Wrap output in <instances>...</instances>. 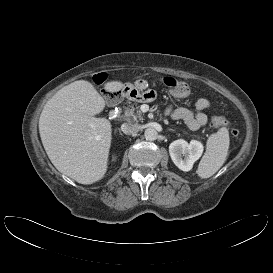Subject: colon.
I'll use <instances>...</instances> for the list:
<instances>
[{
  "label": "colon",
  "mask_w": 273,
  "mask_h": 273,
  "mask_svg": "<svg viewBox=\"0 0 273 273\" xmlns=\"http://www.w3.org/2000/svg\"><path fill=\"white\" fill-rule=\"evenodd\" d=\"M107 80V74L99 73L94 76V81L98 84H102ZM164 84L168 87V89L175 95L185 96L189 92L188 85L171 76H166L163 79ZM211 125L214 127H229V122L221 117V116H213L211 118ZM231 133L233 135H237V131L235 129H231Z\"/></svg>",
  "instance_id": "1"
}]
</instances>
